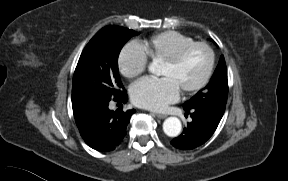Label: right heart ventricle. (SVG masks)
<instances>
[{
    "label": "right heart ventricle",
    "instance_id": "right-heart-ventricle-1",
    "mask_svg": "<svg viewBox=\"0 0 288 181\" xmlns=\"http://www.w3.org/2000/svg\"><path fill=\"white\" fill-rule=\"evenodd\" d=\"M193 42L195 40L192 37L169 30L155 34L149 39L139 42L137 45L147 58L152 61H162L172 56L180 48Z\"/></svg>",
    "mask_w": 288,
    "mask_h": 181
}]
</instances>
